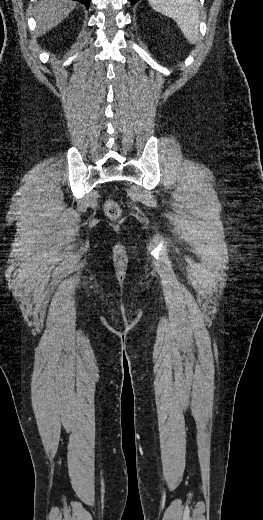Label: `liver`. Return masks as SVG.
<instances>
[{
  "instance_id": "6515ba94",
  "label": "liver",
  "mask_w": 263,
  "mask_h": 520,
  "mask_svg": "<svg viewBox=\"0 0 263 520\" xmlns=\"http://www.w3.org/2000/svg\"><path fill=\"white\" fill-rule=\"evenodd\" d=\"M76 7L72 0H40L34 6L37 36L45 35L61 23Z\"/></svg>"
}]
</instances>
